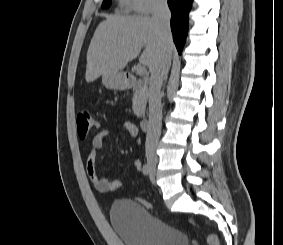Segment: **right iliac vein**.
Listing matches in <instances>:
<instances>
[{"label":"right iliac vein","instance_id":"63e3f726","mask_svg":"<svg viewBox=\"0 0 283 245\" xmlns=\"http://www.w3.org/2000/svg\"><path fill=\"white\" fill-rule=\"evenodd\" d=\"M147 163L151 169L152 174H154L156 170L157 160L154 157L149 156L147 158Z\"/></svg>","mask_w":283,"mask_h":245}]
</instances>
